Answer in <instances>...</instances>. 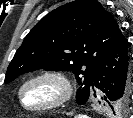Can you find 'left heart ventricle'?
<instances>
[{
	"instance_id": "b2bd125f",
	"label": "left heart ventricle",
	"mask_w": 133,
	"mask_h": 118,
	"mask_svg": "<svg viewBox=\"0 0 133 118\" xmlns=\"http://www.w3.org/2000/svg\"><path fill=\"white\" fill-rule=\"evenodd\" d=\"M59 90L57 86L46 80H36L30 83L23 93L27 106H38L49 103L57 98Z\"/></svg>"
}]
</instances>
